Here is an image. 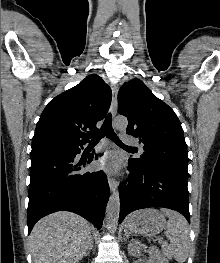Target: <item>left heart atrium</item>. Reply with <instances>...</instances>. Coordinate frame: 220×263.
Returning a JSON list of instances; mask_svg holds the SVG:
<instances>
[{
  "instance_id": "39dd6f15",
  "label": "left heart atrium",
  "mask_w": 220,
  "mask_h": 263,
  "mask_svg": "<svg viewBox=\"0 0 220 263\" xmlns=\"http://www.w3.org/2000/svg\"><path fill=\"white\" fill-rule=\"evenodd\" d=\"M119 166L120 160L115 153H108L98 161V167L110 173L116 172Z\"/></svg>"
}]
</instances>
